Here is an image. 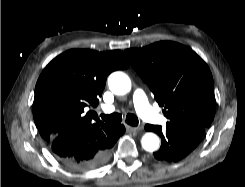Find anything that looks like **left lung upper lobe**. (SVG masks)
Instances as JSON below:
<instances>
[{
  "label": "left lung upper lobe",
  "instance_id": "1",
  "mask_svg": "<svg viewBox=\"0 0 245 187\" xmlns=\"http://www.w3.org/2000/svg\"><path fill=\"white\" fill-rule=\"evenodd\" d=\"M131 65L147 83L171 127L209 128L215 115L212 74L190 48L161 41L125 50Z\"/></svg>",
  "mask_w": 245,
  "mask_h": 187
}]
</instances>
